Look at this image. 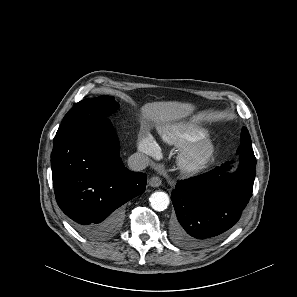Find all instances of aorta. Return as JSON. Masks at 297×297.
Listing matches in <instances>:
<instances>
[{
    "mask_svg": "<svg viewBox=\"0 0 297 297\" xmlns=\"http://www.w3.org/2000/svg\"><path fill=\"white\" fill-rule=\"evenodd\" d=\"M150 205L156 211H164L169 205V196L165 192H154L151 194Z\"/></svg>",
    "mask_w": 297,
    "mask_h": 297,
    "instance_id": "762f6f07",
    "label": "aorta"
}]
</instances>
